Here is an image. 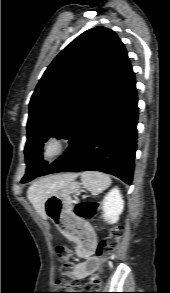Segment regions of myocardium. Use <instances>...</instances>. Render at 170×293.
I'll use <instances>...</instances> for the list:
<instances>
[{
    "label": "myocardium",
    "mask_w": 170,
    "mask_h": 293,
    "mask_svg": "<svg viewBox=\"0 0 170 293\" xmlns=\"http://www.w3.org/2000/svg\"><path fill=\"white\" fill-rule=\"evenodd\" d=\"M67 148V140L63 135L51 136L42 147V155L46 159H55L62 155Z\"/></svg>",
    "instance_id": "1"
}]
</instances>
